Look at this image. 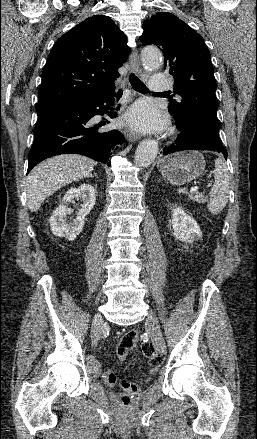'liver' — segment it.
Segmentation results:
<instances>
[{
	"label": "liver",
	"mask_w": 257,
	"mask_h": 439,
	"mask_svg": "<svg viewBox=\"0 0 257 439\" xmlns=\"http://www.w3.org/2000/svg\"><path fill=\"white\" fill-rule=\"evenodd\" d=\"M95 165V161L76 154L58 155L37 165L27 177L29 210L36 212L59 188L90 176Z\"/></svg>",
	"instance_id": "1"
}]
</instances>
